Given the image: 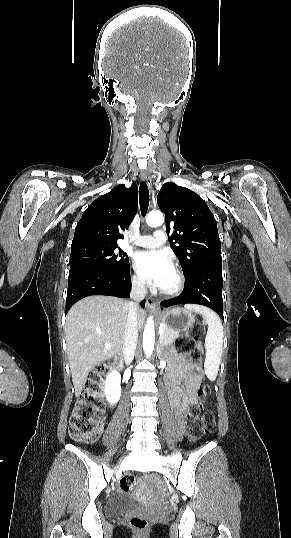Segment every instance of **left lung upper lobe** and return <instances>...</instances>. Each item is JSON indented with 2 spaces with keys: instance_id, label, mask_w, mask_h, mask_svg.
<instances>
[{
  "instance_id": "obj_1",
  "label": "left lung upper lobe",
  "mask_w": 291,
  "mask_h": 538,
  "mask_svg": "<svg viewBox=\"0 0 291 538\" xmlns=\"http://www.w3.org/2000/svg\"><path fill=\"white\" fill-rule=\"evenodd\" d=\"M165 213L170 247L188 276L194 269L222 262L217 223L206 202L195 192L174 183H165L157 197Z\"/></svg>"
}]
</instances>
